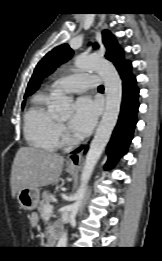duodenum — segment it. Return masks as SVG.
<instances>
[{
  "instance_id": "obj_1",
  "label": "duodenum",
  "mask_w": 162,
  "mask_h": 261,
  "mask_svg": "<svg viewBox=\"0 0 162 261\" xmlns=\"http://www.w3.org/2000/svg\"><path fill=\"white\" fill-rule=\"evenodd\" d=\"M60 233H61V230L57 229L56 231H54L53 233L50 234V236H49V243L51 245H57Z\"/></svg>"
}]
</instances>
